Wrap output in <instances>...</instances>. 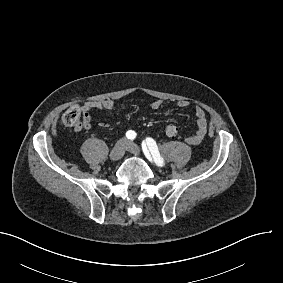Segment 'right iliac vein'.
Returning <instances> with one entry per match:
<instances>
[{
	"mask_svg": "<svg viewBox=\"0 0 283 283\" xmlns=\"http://www.w3.org/2000/svg\"><path fill=\"white\" fill-rule=\"evenodd\" d=\"M126 145H127V142L125 139L119 140L114 145L109 155L111 161L116 162L123 157Z\"/></svg>",
	"mask_w": 283,
	"mask_h": 283,
	"instance_id": "1",
	"label": "right iliac vein"
}]
</instances>
